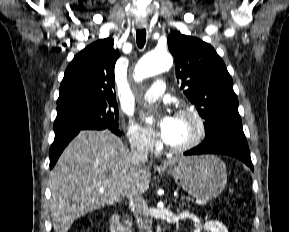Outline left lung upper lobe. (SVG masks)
<instances>
[{
  "instance_id": "left-lung-upper-lobe-1",
  "label": "left lung upper lobe",
  "mask_w": 289,
  "mask_h": 232,
  "mask_svg": "<svg viewBox=\"0 0 289 232\" xmlns=\"http://www.w3.org/2000/svg\"><path fill=\"white\" fill-rule=\"evenodd\" d=\"M168 48L174 56L176 77L182 81L184 94L205 120L202 143L245 137L232 78L214 48L180 32L168 36Z\"/></svg>"
}]
</instances>
